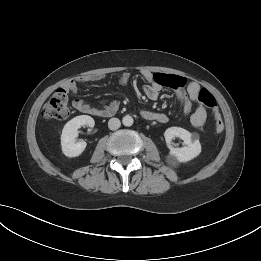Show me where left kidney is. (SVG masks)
Masks as SVG:
<instances>
[{"mask_svg":"<svg viewBox=\"0 0 261 261\" xmlns=\"http://www.w3.org/2000/svg\"><path fill=\"white\" fill-rule=\"evenodd\" d=\"M165 141L170 149L169 158L179 162H188L201 153V144L196 134L181 127H170L164 132ZM178 137L184 141L185 146L174 148L171 146V141Z\"/></svg>","mask_w":261,"mask_h":261,"instance_id":"obj_1","label":"left kidney"}]
</instances>
